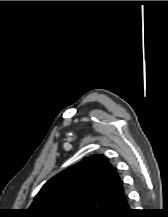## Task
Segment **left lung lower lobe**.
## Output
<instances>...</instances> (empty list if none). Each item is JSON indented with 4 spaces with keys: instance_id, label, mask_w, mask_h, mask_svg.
Returning <instances> with one entry per match:
<instances>
[{
    "instance_id": "left-lung-lower-lobe-1",
    "label": "left lung lower lobe",
    "mask_w": 168,
    "mask_h": 217,
    "mask_svg": "<svg viewBox=\"0 0 168 217\" xmlns=\"http://www.w3.org/2000/svg\"><path fill=\"white\" fill-rule=\"evenodd\" d=\"M134 211L130 209L128 196L125 192H121L110 200L104 212L99 217H132Z\"/></svg>"
}]
</instances>
